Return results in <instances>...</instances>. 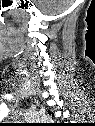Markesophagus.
Segmentation results:
<instances>
[{
	"label": "esophagus",
	"instance_id": "obj_1",
	"mask_svg": "<svg viewBox=\"0 0 95 126\" xmlns=\"http://www.w3.org/2000/svg\"><path fill=\"white\" fill-rule=\"evenodd\" d=\"M35 103L38 105L39 104L38 100H36Z\"/></svg>",
	"mask_w": 95,
	"mask_h": 126
}]
</instances>
